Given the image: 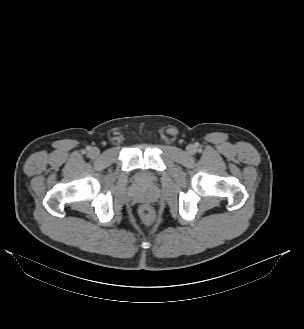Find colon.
Instances as JSON below:
<instances>
[{
    "mask_svg": "<svg viewBox=\"0 0 304 329\" xmlns=\"http://www.w3.org/2000/svg\"><path fill=\"white\" fill-rule=\"evenodd\" d=\"M139 215H140L141 221L146 225L151 224L155 219V212L148 205L141 206V208L139 210Z\"/></svg>",
    "mask_w": 304,
    "mask_h": 329,
    "instance_id": "5ec220e1",
    "label": "colon"
}]
</instances>
